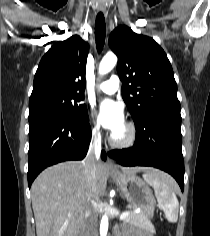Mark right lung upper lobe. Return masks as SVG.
<instances>
[{
    "label": "right lung upper lobe",
    "mask_w": 210,
    "mask_h": 236,
    "mask_svg": "<svg viewBox=\"0 0 210 236\" xmlns=\"http://www.w3.org/2000/svg\"><path fill=\"white\" fill-rule=\"evenodd\" d=\"M88 50L78 35L54 44L40 61L29 101L49 93L83 96Z\"/></svg>",
    "instance_id": "right-lung-upper-lobe-1"
}]
</instances>
